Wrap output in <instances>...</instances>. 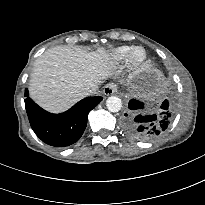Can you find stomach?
I'll use <instances>...</instances> for the list:
<instances>
[{
  "label": "stomach",
  "mask_w": 205,
  "mask_h": 205,
  "mask_svg": "<svg viewBox=\"0 0 205 205\" xmlns=\"http://www.w3.org/2000/svg\"><path fill=\"white\" fill-rule=\"evenodd\" d=\"M153 84L154 79L151 75V71L146 70L138 75V78L134 84V89L138 92L148 93L151 91Z\"/></svg>",
  "instance_id": "obj_1"
}]
</instances>
